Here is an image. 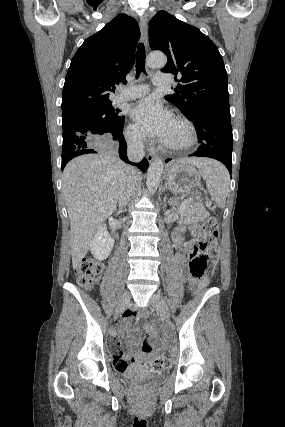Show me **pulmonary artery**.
Here are the masks:
<instances>
[{
  "mask_svg": "<svg viewBox=\"0 0 285 427\" xmlns=\"http://www.w3.org/2000/svg\"><path fill=\"white\" fill-rule=\"evenodd\" d=\"M170 79L165 74H156L153 78L155 86L168 85ZM150 91L148 84H138L133 88H123L117 97L118 101H128L147 95Z\"/></svg>",
  "mask_w": 285,
  "mask_h": 427,
  "instance_id": "1",
  "label": "pulmonary artery"
}]
</instances>
